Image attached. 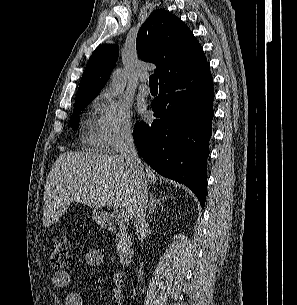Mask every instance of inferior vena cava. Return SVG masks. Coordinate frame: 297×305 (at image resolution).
Instances as JSON below:
<instances>
[{
  "label": "inferior vena cava",
  "instance_id": "obj_1",
  "mask_svg": "<svg viewBox=\"0 0 297 305\" xmlns=\"http://www.w3.org/2000/svg\"><path fill=\"white\" fill-rule=\"evenodd\" d=\"M120 155L125 159L126 165L133 174L135 189L132 202V210L134 216V228L138 239L143 242L146 236V205H147V184L143 167L134 144V139L130 129H126L122 133ZM143 262L140 264L138 271V281L143 280L144 272Z\"/></svg>",
  "mask_w": 297,
  "mask_h": 305
}]
</instances>
